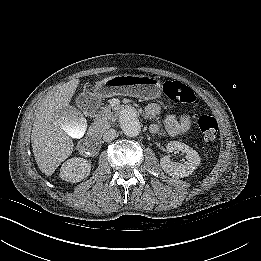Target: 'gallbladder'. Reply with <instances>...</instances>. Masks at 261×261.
<instances>
[{
  "mask_svg": "<svg viewBox=\"0 0 261 261\" xmlns=\"http://www.w3.org/2000/svg\"><path fill=\"white\" fill-rule=\"evenodd\" d=\"M57 120L67 135L80 139L87 130V122L80 112L73 106L64 107L58 114Z\"/></svg>",
  "mask_w": 261,
  "mask_h": 261,
  "instance_id": "bac80fb5",
  "label": "gallbladder"
}]
</instances>
